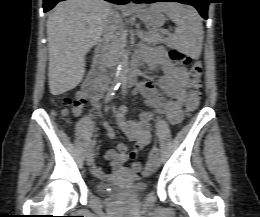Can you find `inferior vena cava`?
<instances>
[{"instance_id":"1","label":"inferior vena cava","mask_w":260,"mask_h":217,"mask_svg":"<svg viewBox=\"0 0 260 217\" xmlns=\"http://www.w3.org/2000/svg\"><path fill=\"white\" fill-rule=\"evenodd\" d=\"M123 31V21L119 14L112 10L104 27L103 39L110 48H115L118 43L119 35Z\"/></svg>"}]
</instances>
